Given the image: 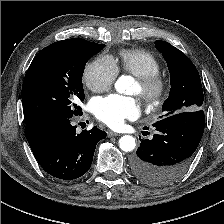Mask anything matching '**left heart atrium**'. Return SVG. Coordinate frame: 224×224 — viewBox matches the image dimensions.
<instances>
[{"label":"left heart atrium","instance_id":"1","mask_svg":"<svg viewBox=\"0 0 224 224\" xmlns=\"http://www.w3.org/2000/svg\"><path fill=\"white\" fill-rule=\"evenodd\" d=\"M93 112L98 120L109 127L118 128L125 120L138 116L140 106L132 97L112 94L96 99Z\"/></svg>","mask_w":224,"mask_h":224}]
</instances>
